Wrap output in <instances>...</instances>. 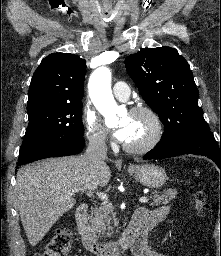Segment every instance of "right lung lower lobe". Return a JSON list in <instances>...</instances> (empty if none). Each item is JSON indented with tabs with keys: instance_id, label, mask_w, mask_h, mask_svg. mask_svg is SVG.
I'll return each mask as SVG.
<instances>
[{
	"instance_id": "98d812e1",
	"label": "right lung lower lobe",
	"mask_w": 221,
	"mask_h": 256,
	"mask_svg": "<svg viewBox=\"0 0 221 256\" xmlns=\"http://www.w3.org/2000/svg\"><path fill=\"white\" fill-rule=\"evenodd\" d=\"M84 144L83 136L65 135L47 139L20 153L17 166L49 157L74 155L83 150Z\"/></svg>"
}]
</instances>
